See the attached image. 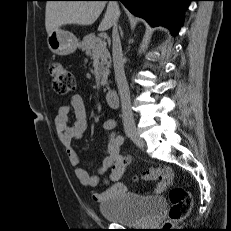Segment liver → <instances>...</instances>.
Returning <instances> with one entry per match:
<instances>
[{"mask_svg":"<svg viewBox=\"0 0 231 231\" xmlns=\"http://www.w3.org/2000/svg\"><path fill=\"white\" fill-rule=\"evenodd\" d=\"M105 5V1H48L45 12L46 31L49 35L63 25H91L98 19ZM118 17V5L114 2L108 3L98 30L110 29L117 23Z\"/></svg>","mask_w":231,"mask_h":231,"instance_id":"obj_1","label":"liver"}]
</instances>
